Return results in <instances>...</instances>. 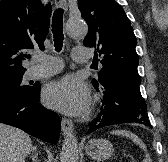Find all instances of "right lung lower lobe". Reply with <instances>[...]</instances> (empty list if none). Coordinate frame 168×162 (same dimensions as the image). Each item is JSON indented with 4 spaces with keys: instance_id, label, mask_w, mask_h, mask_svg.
Listing matches in <instances>:
<instances>
[{
    "instance_id": "right-lung-lower-lobe-1",
    "label": "right lung lower lobe",
    "mask_w": 168,
    "mask_h": 162,
    "mask_svg": "<svg viewBox=\"0 0 168 162\" xmlns=\"http://www.w3.org/2000/svg\"><path fill=\"white\" fill-rule=\"evenodd\" d=\"M40 88V84H35L27 91L0 90V122L56 144L61 122L57 115L39 103Z\"/></svg>"
}]
</instances>
